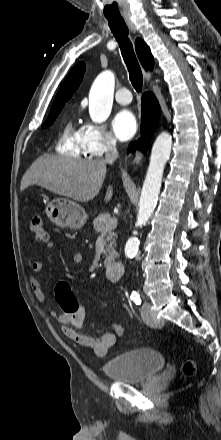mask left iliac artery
Here are the masks:
<instances>
[{
  "label": "left iliac artery",
  "instance_id": "obj_1",
  "mask_svg": "<svg viewBox=\"0 0 221 440\" xmlns=\"http://www.w3.org/2000/svg\"><path fill=\"white\" fill-rule=\"evenodd\" d=\"M131 300H133L136 305H140L141 304V298H140L139 294L132 295L131 296Z\"/></svg>",
  "mask_w": 221,
  "mask_h": 440
}]
</instances>
